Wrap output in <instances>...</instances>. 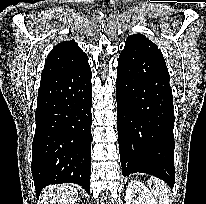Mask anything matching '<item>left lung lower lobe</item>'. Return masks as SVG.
Masks as SVG:
<instances>
[{
  "instance_id": "left-lung-lower-lobe-1",
  "label": "left lung lower lobe",
  "mask_w": 206,
  "mask_h": 204,
  "mask_svg": "<svg viewBox=\"0 0 206 204\" xmlns=\"http://www.w3.org/2000/svg\"><path fill=\"white\" fill-rule=\"evenodd\" d=\"M166 63L145 60L132 69L119 56L117 129L123 176L143 172L175 183L174 110Z\"/></svg>"
}]
</instances>
